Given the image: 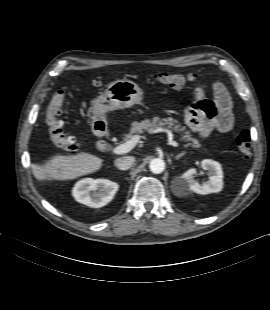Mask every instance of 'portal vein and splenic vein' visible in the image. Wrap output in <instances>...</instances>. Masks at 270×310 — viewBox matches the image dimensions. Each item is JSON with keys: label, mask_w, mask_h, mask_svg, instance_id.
Returning a JSON list of instances; mask_svg holds the SVG:
<instances>
[{"label": "portal vein and splenic vein", "mask_w": 270, "mask_h": 310, "mask_svg": "<svg viewBox=\"0 0 270 310\" xmlns=\"http://www.w3.org/2000/svg\"><path fill=\"white\" fill-rule=\"evenodd\" d=\"M156 132H165V133H167L169 144L174 146V147H179V143H177L176 141L173 140V134H172V132L170 130L159 128V129L156 130ZM139 140H140V136L139 135H135L128 142L114 147L112 149V153L116 154V155L127 153V152H129L130 150H132L135 147V145L139 142Z\"/></svg>", "instance_id": "1"}]
</instances>
